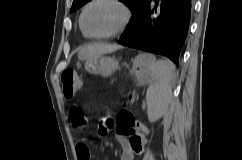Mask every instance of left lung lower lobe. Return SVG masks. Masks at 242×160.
Returning <instances> with one entry per match:
<instances>
[{
    "instance_id": "left-lung-lower-lobe-1",
    "label": "left lung lower lobe",
    "mask_w": 242,
    "mask_h": 160,
    "mask_svg": "<svg viewBox=\"0 0 242 160\" xmlns=\"http://www.w3.org/2000/svg\"><path fill=\"white\" fill-rule=\"evenodd\" d=\"M192 10V0H147L118 43L179 63Z\"/></svg>"
}]
</instances>
